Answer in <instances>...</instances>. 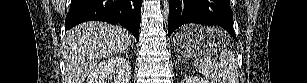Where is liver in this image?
<instances>
[{
  "mask_svg": "<svg viewBox=\"0 0 307 83\" xmlns=\"http://www.w3.org/2000/svg\"><path fill=\"white\" fill-rule=\"evenodd\" d=\"M131 45L130 33L103 22H85L69 30L63 41L65 83H84L95 64Z\"/></svg>",
  "mask_w": 307,
  "mask_h": 83,
  "instance_id": "liver-1",
  "label": "liver"
}]
</instances>
